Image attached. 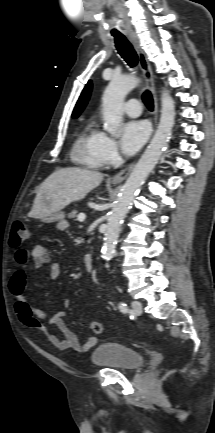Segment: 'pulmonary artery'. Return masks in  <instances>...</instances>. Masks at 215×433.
Listing matches in <instances>:
<instances>
[{
	"mask_svg": "<svg viewBox=\"0 0 215 433\" xmlns=\"http://www.w3.org/2000/svg\"><path fill=\"white\" fill-rule=\"evenodd\" d=\"M124 111L131 117L139 116L141 113V104L138 99H130L124 105Z\"/></svg>",
	"mask_w": 215,
	"mask_h": 433,
	"instance_id": "e3ab8cb5",
	"label": "pulmonary artery"
}]
</instances>
